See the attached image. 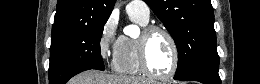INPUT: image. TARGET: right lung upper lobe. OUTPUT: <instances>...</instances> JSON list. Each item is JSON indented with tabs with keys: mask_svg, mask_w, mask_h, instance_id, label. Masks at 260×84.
Listing matches in <instances>:
<instances>
[{
	"mask_svg": "<svg viewBox=\"0 0 260 84\" xmlns=\"http://www.w3.org/2000/svg\"><path fill=\"white\" fill-rule=\"evenodd\" d=\"M116 0H58L52 35L107 20Z\"/></svg>",
	"mask_w": 260,
	"mask_h": 84,
	"instance_id": "obj_1",
	"label": "right lung upper lobe"
}]
</instances>
